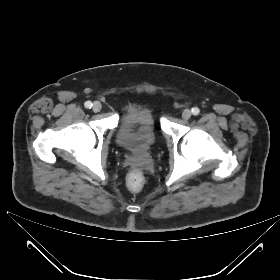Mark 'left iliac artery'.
Returning <instances> with one entry per match:
<instances>
[{"instance_id": "1", "label": "left iliac artery", "mask_w": 280, "mask_h": 280, "mask_svg": "<svg viewBox=\"0 0 280 280\" xmlns=\"http://www.w3.org/2000/svg\"><path fill=\"white\" fill-rule=\"evenodd\" d=\"M191 112H192L193 115H198L200 113V110H199V108L194 107V108L191 109Z\"/></svg>"}]
</instances>
